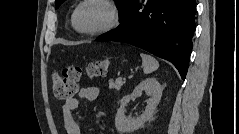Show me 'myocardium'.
<instances>
[{
    "label": "myocardium",
    "instance_id": "f54148a6",
    "mask_svg": "<svg viewBox=\"0 0 239 134\" xmlns=\"http://www.w3.org/2000/svg\"><path fill=\"white\" fill-rule=\"evenodd\" d=\"M91 3H97V4L104 6L109 12V20L103 27H101L99 29L92 30V31H84V30H81L77 26L76 18H77V15H78V12L80 11V9L83 6H85L87 4H91ZM71 22H72L73 28L79 34L85 35V36H98V35L104 34L108 31L112 30L118 24L119 13H118V10L116 9L115 5L109 0H85V1H81L74 9L72 18H71Z\"/></svg>",
    "mask_w": 239,
    "mask_h": 134
}]
</instances>
